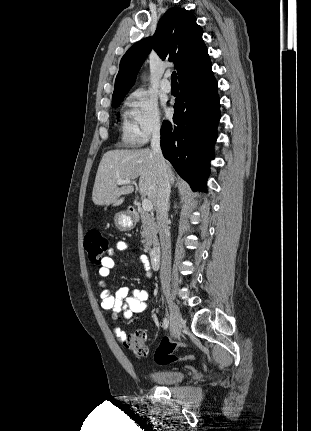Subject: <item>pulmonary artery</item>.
Returning a JSON list of instances; mask_svg holds the SVG:
<instances>
[{"instance_id":"obj_1","label":"pulmonary artery","mask_w":311,"mask_h":431,"mask_svg":"<svg viewBox=\"0 0 311 431\" xmlns=\"http://www.w3.org/2000/svg\"><path fill=\"white\" fill-rule=\"evenodd\" d=\"M161 90L165 93H170L172 91V85L168 79L167 74L161 80Z\"/></svg>"}]
</instances>
